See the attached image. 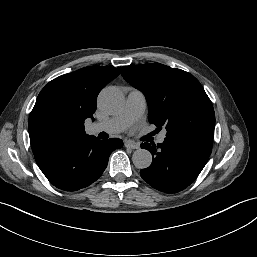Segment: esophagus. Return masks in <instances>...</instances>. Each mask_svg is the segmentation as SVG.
Here are the masks:
<instances>
[{
  "label": "esophagus",
  "instance_id": "obj_1",
  "mask_svg": "<svg viewBox=\"0 0 257 257\" xmlns=\"http://www.w3.org/2000/svg\"><path fill=\"white\" fill-rule=\"evenodd\" d=\"M124 145L125 147L131 148V149H138L140 147L138 143H135L133 141H125Z\"/></svg>",
  "mask_w": 257,
  "mask_h": 257
}]
</instances>
